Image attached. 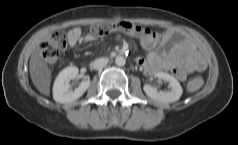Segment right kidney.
Here are the masks:
<instances>
[{"mask_svg":"<svg viewBox=\"0 0 238 145\" xmlns=\"http://www.w3.org/2000/svg\"><path fill=\"white\" fill-rule=\"evenodd\" d=\"M78 72L77 67L69 66L58 74L53 85V98L56 102L62 104L74 102L89 88L91 81L87 79L82 81L74 91L70 89L69 81L75 79Z\"/></svg>","mask_w":238,"mask_h":145,"instance_id":"1","label":"right kidney"}]
</instances>
